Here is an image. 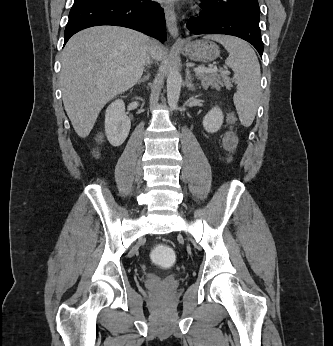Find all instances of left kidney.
I'll return each mask as SVG.
<instances>
[{
  "mask_svg": "<svg viewBox=\"0 0 333 346\" xmlns=\"http://www.w3.org/2000/svg\"><path fill=\"white\" fill-rule=\"evenodd\" d=\"M223 119L221 109L215 106L204 116L203 127L208 133H215L221 128Z\"/></svg>",
  "mask_w": 333,
  "mask_h": 346,
  "instance_id": "1",
  "label": "left kidney"
}]
</instances>
